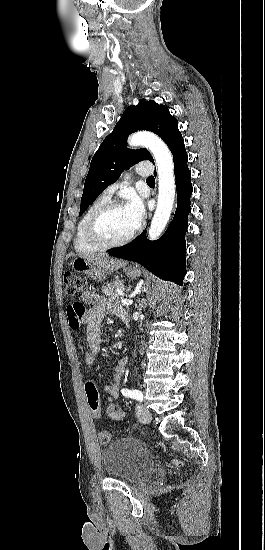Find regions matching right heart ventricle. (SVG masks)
Here are the masks:
<instances>
[{"mask_svg": "<svg viewBox=\"0 0 265 550\" xmlns=\"http://www.w3.org/2000/svg\"><path fill=\"white\" fill-rule=\"evenodd\" d=\"M108 201H110V197L104 193L101 194L100 196H98L92 201V203L87 207L84 214L81 216L77 224V227L75 230V236H74V246L77 252L91 253L100 249L87 240L85 236V224L88 217L91 215V213L95 209H97L99 206L103 205Z\"/></svg>", "mask_w": 265, "mask_h": 550, "instance_id": "1", "label": "right heart ventricle"}]
</instances>
